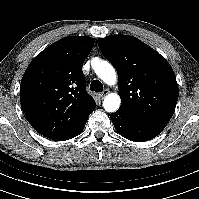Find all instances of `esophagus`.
<instances>
[{"instance_id": "34e87169", "label": "esophagus", "mask_w": 199, "mask_h": 199, "mask_svg": "<svg viewBox=\"0 0 199 199\" xmlns=\"http://www.w3.org/2000/svg\"><path fill=\"white\" fill-rule=\"evenodd\" d=\"M109 93V90H104L103 92L99 93V97L102 99Z\"/></svg>"}]
</instances>
